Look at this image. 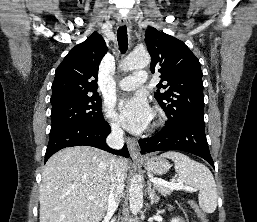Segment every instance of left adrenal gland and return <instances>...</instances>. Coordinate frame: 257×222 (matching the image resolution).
Segmentation results:
<instances>
[{
	"label": "left adrenal gland",
	"instance_id": "obj_1",
	"mask_svg": "<svg viewBox=\"0 0 257 222\" xmlns=\"http://www.w3.org/2000/svg\"><path fill=\"white\" fill-rule=\"evenodd\" d=\"M147 193L149 195V199H150V204L153 205L154 203H156L159 199L158 195L155 193V190L152 189V184L150 181H148V188H147Z\"/></svg>",
	"mask_w": 257,
	"mask_h": 222
}]
</instances>
